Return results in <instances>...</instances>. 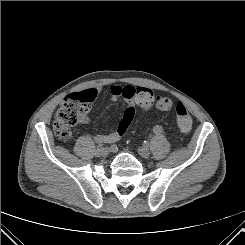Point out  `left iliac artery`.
Listing matches in <instances>:
<instances>
[{
	"label": "left iliac artery",
	"instance_id": "left-iliac-artery-1",
	"mask_svg": "<svg viewBox=\"0 0 245 245\" xmlns=\"http://www.w3.org/2000/svg\"><path fill=\"white\" fill-rule=\"evenodd\" d=\"M154 132H155L156 134L161 133V132H162V129H161L159 126H156V127L154 128Z\"/></svg>",
	"mask_w": 245,
	"mask_h": 245
}]
</instances>
